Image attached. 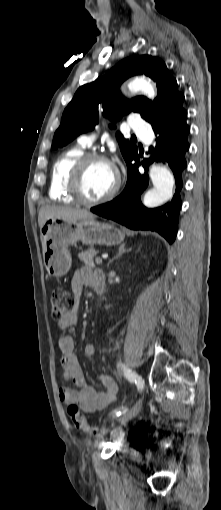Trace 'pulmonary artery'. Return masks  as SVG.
<instances>
[{"label": "pulmonary artery", "instance_id": "pulmonary-artery-1", "mask_svg": "<svg viewBox=\"0 0 221 510\" xmlns=\"http://www.w3.org/2000/svg\"><path fill=\"white\" fill-rule=\"evenodd\" d=\"M129 125L131 129L136 132V134L140 137V139L145 143L149 144L153 138L152 130L149 127V124L140 119L138 116H131L129 120ZM95 136L93 134H83L79 136L78 142L83 147H88L94 141Z\"/></svg>", "mask_w": 221, "mask_h": 510}]
</instances>
